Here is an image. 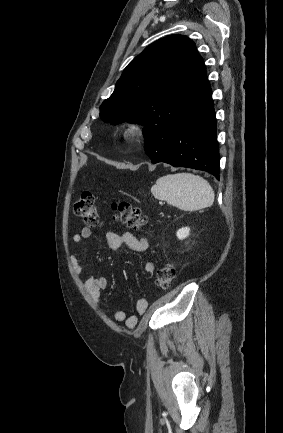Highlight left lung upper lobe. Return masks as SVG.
<instances>
[{"label":"left lung upper lobe","instance_id":"5c2ea615","mask_svg":"<svg viewBox=\"0 0 283 433\" xmlns=\"http://www.w3.org/2000/svg\"><path fill=\"white\" fill-rule=\"evenodd\" d=\"M205 71L189 38L159 39L125 68L113 94L100 106V117L113 124H142L145 138L155 126L173 124L200 110Z\"/></svg>","mask_w":283,"mask_h":433}]
</instances>
